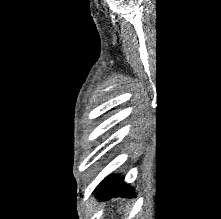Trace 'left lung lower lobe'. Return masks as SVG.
<instances>
[{
    "label": "left lung lower lobe",
    "instance_id": "left-lung-lower-lobe-1",
    "mask_svg": "<svg viewBox=\"0 0 221 219\" xmlns=\"http://www.w3.org/2000/svg\"><path fill=\"white\" fill-rule=\"evenodd\" d=\"M95 192L100 201L117 196H135L133 189L120 176H108L100 183Z\"/></svg>",
    "mask_w": 221,
    "mask_h": 219
}]
</instances>
